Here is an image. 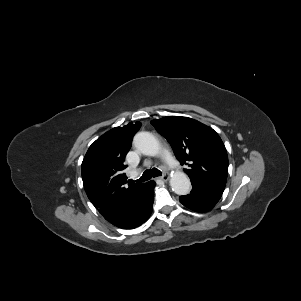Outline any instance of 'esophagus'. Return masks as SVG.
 <instances>
[{
    "label": "esophagus",
    "instance_id": "34e87169",
    "mask_svg": "<svg viewBox=\"0 0 301 301\" xmlns=\"http://www.w3.org/2000/svg\"><path fill=\"white\" fill-rule=\"evenodd\" d=\"M160 179L164 182H167L169 180V176L168 175H163L160 177Z\"/></svg>",
    "mask_w": 301,
    "mask_h": 301
}]
</instances>
